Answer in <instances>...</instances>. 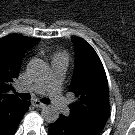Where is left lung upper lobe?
<instances>
[{
    "instance_id": "1",
    "label": "left lung upper lobe",
    "mask_w": 135,
    "mask_h": 135,
    "mask_svg": "<svg viewBox=\"0 0 135 135\" xmlns=\"http://www.w3.org/2000/svg\"><path fill=\"white\" fill-rule=\"evenodd\" d=\"M75 68L69 91L77 101L69 105L70 115H61L69 124L98 135L109 116V89L104 67L95 50L85 40L73 37Z\"/></svg>"
}]
</instances>
